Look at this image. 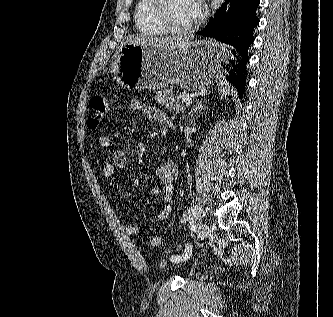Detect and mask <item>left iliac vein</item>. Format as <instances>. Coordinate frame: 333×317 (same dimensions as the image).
Instances as JSON below:
<instances>
[{"label": "left iliac vein", "mask_w": 333, "mask_h": 317, "mask_svg": "<svg viewBox=\"0 0 333 317\" xmlns=\"http://www.w3.org/2000/svg\"><path fill=\"white\" fill-rule=\"evenodd\" d=\"M209 233H210V229L206 224H204L203 222H199L197 224L196 234H197L198 240L205 239L209 235Z\"/></svg>", "instance_id": "obj_1"}]
</instances>
